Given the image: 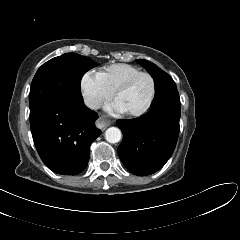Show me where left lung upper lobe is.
Masks as SVG:
<instances>
[{
  "label": "left lung upper lobe",
  "instance_id": "5c2ea615",
  "mask_svg": "<svg viewBox=\"0 0 240 240\" xmlns=\"http://www.w3.org/2000/svg\"><path fill=\"white\" fill-rule=\"evenodd\" d=\"M137 62L145 67L155 80L156 95L152 106L164 103L180 104L178 90L169 74L150 61L138 59Z\"/></svg>",
  "mask_w": 240,
  "mask_h": 240
}]
</instances>
